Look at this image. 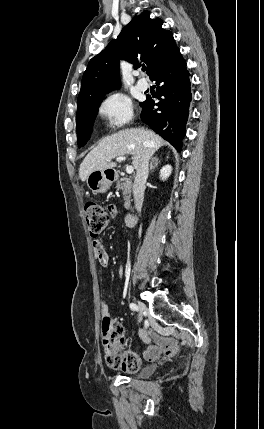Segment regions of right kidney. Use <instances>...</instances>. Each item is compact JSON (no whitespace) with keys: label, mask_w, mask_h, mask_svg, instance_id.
Here are the masks:
<instances>
[{"label":"right kidney","mask_w":264,"mask_h":429,"mask_svg":"<svg viewBox=\"0 0 264 429\" xmlns=\"http://www.w3.org/2000/svg\"><path fill=\"white\" fill-rule=\"evenodd\" d=\"M171 171L172 167L170 165L163 166L160 170V179L163 181L166 180L170 176Z\"/></svg>","instance_id":"obj_1"}]
</instances>
